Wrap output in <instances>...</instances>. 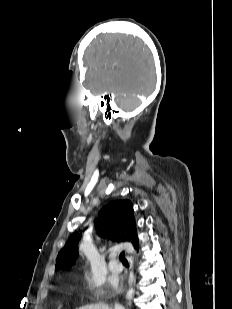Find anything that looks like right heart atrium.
I'll use <instances>...</instances> for the list:
<instances>
[{"mask_svg": "<svg viewBox=\"0 0 232 309\" xmlns=\"http://www.w3.org/2000/svg\"><path fill=\"white\" fill-rule=\"evenodd\" d=\"M88 286L90 289H95V285L92 282H88Z\"/></svg>", "mask_w": 232, "mask_h": 309, "instance_id": "obj_1", "label": "right heart atrium"}]
</instances>
